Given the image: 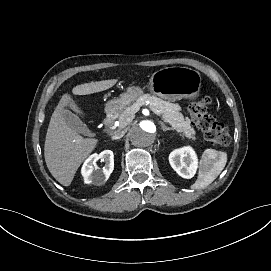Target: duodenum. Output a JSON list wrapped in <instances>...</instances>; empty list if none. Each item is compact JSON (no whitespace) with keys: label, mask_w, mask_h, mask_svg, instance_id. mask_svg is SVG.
I'll list each match as a JSON object with an SVG mask.
<instances>
[{"label":"duodenum","mask_w":271,"mask_h":271,"mask_svg":"<svg viewBox=\"0 0 271 271\" xmlns=\"http://www.w3.org/2000/svg\"><path fill=\"white\" fill-rule=\"evenodd\" d=\"M115 117H116L115 111L110 110L106 115V123L111 124L115 120Z\"/></svg>","instance_id":"1"}]
</instances>
